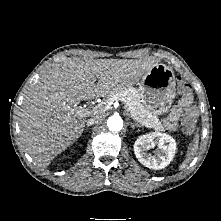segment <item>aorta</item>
Instances as JSON below:
<instances>
[{
  "instance_id": "1",
  "label": "aorta",
  "mask_w": 221,
  "mask_h": 221,
  "mask_svg": "<svg viewBox=\"0 0 221 221\" xmlns=\"http://www.w3.org/2000/svg\"><path fill=\"white\" fill-rule=\"evenodd\" d=\"M107 126L111 131H121L123 128V120L119 115L114 114L107 119Z\"/></svg>"
}]
</instances>
